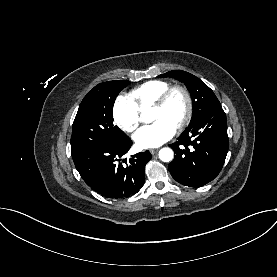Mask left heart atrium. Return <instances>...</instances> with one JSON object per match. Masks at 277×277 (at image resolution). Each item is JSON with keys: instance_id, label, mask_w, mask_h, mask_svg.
<instances>
[{"instance_id": "39dd6f15", "label": "left heart atrium", "mask_w": 277, "mask_h": 277, "mask_svg": "<svg viewBox=\"0 0 277 277\" xmlns=\"http://www.w3.org/2000/svg\"><path fill=\"white\" fill-rule=\"evenodd\" d=\"M176 133V126L159 119L148 126L140 128L133 139L140 148H154L170 140Z\"/></svg>"}]
</instances>
